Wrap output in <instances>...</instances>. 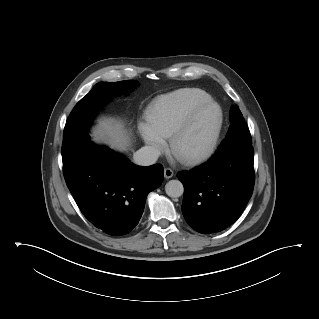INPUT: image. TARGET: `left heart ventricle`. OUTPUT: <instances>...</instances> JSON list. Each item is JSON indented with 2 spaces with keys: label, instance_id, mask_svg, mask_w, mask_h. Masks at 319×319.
<instances>
[{
  "label": "left heart ventricle",
  "instance_id": "obj_1",
  "mask_svg": "<svg viewBox=\"0 0 319 319\" xmlns=\"http://www.w3.org/2000/svg\"><path fill=\"white\" fill-rule=\"evenodd\" d=\"M219 113L216 107L205 109L196 119L192 129L180 143L184 153H195L205 150L216 131Z\"/></svg>",
  "mask_w": 319,
  "mask_h": 319
}]
</instances>
